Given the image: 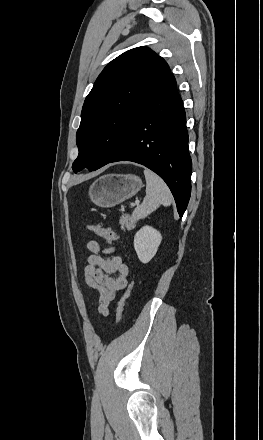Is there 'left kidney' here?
Listing matches in <instances>:
<instances>
[{
  "instance_id": "5707ae66",
  "label": "left kidney",
  "mask_w": 263,
  "mask_h": 440,
  "mask_svg": "<svg viewBox=\"0 0 263 440\" xmlns=\"http://www.w3.org/2000/svg\"><path fill=\"white\" fill-rule=\"evenodd\" d=\"M162 236L151 226H144L134 236V248L139 260L148 263L156 254Z\"/></svg>"
}]
</instances>
